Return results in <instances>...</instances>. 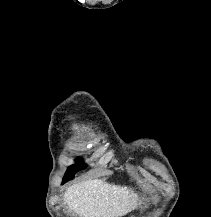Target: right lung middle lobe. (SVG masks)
<instances>
[{"instance_id": "right-lung-middle-lobe-1", "label": "right lung middle lobe", "mask_w": 211, "mask_h": 217, "mask_svg": "<svg viewBox=\"0 0 211 217\" xmlns=\"http://www.w3.org/2000/svg\"><path fill=\"white\" fill-rule=\"evenodd\" d=\"M86 167V164L81 160V159H77V164L76 165H72L68 168L65 176H64V179H63V182H67L71 179L74 178V174L76 172H78L79 170H82Z\"/></svg>"}]
</instances>
